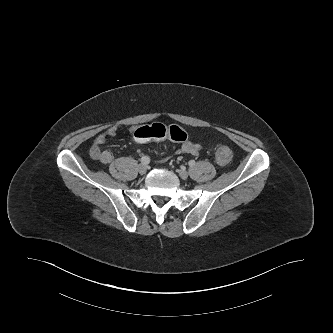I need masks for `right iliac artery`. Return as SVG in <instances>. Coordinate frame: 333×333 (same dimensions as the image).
Returning <instances> with one entry per match:
<instances>
[{
	"mask_svg": "<svg viewBox=\"0 0 333 333\" xmlns=\"http://www.w3.org/2000/svg\"><path fill=\"white\" fill-rule=\"evenodd\" d=\"M141 162H142L143 164H148V163L150 162V158H149L148 156H143V157L141 158Z\"/></svg>",
	"mask_w": 333,
	"mask_h": 333,
	"instance_id": "obj_1",
	"label": "right iliac artery"
}]
</instances>
